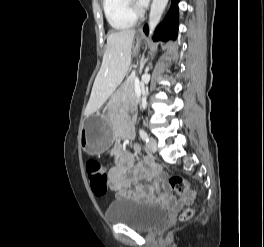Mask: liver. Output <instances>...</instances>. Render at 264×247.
Segmentation results:
<instances>
[{
  "label": "liver",
  "instance_id": "6515ba94",
  "mask_svg": "<svg viewBox=\"0 0 264 247\" xmlns=\"http://www.w3.org/2000/svg\"><path fill=\"white\" fill-rule=\"evenodd\" d=\"M135 30H121L108 35L102 65L95 79L85 114L96 112L111 96L128 72Z\"/></svg>",
  "mask_w": 264,
  "mask_h": 247
}]
</instances>
